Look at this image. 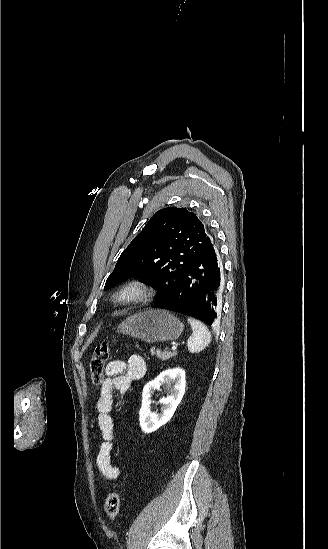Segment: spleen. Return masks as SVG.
Here are the masks:
<instances>
[{
	"mask_svg": "<svg viewBox=\"0 0 328 549\" xmlns=\"http://www.w3.org/2000/svg\"><path fill=\"white\" fill-rule=\"evenodd\" d=\"M187 321L190 323L193 331V335L188 339V351L189 353H200V351H203V349H206L210 345L211 333L201 321H196L192 317H188Z\"/></svg>",
	"mask_w": 328,
	"mask_h": 549,
	"instance_id": "1",
	"label": "spleen"
}]
</instances>
